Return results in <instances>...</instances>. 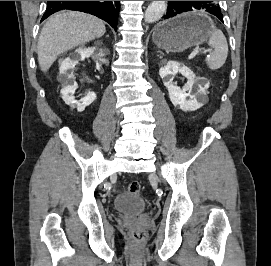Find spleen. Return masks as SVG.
I'll return each mask as SVG.
<instances>
[{
  "instance_id": "spleen-1",
  "label": "spleen",
  "mask_w": 271,
  "mask_h": 266,
  "mask_svg": "<svg viewBox=\"0 0 271 266\" xmlns=\"http://www.w3.org/2000/svg\"><path fill=\"white\" fill-rule=\"evenodd\" d=\"M208 45L211 47V52L205 59L206 64L211 70H217L224 65L228 54V44L223 32L214 28Z\"/></svg>"
}]
</instances>
